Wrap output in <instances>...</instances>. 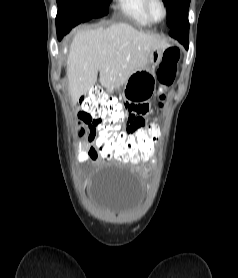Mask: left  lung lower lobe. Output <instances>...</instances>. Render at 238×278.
Instances as JSON below:
<instances>
[{"label": "left lung lower lobe", "mask_w": 238, "mask_h": 278, "mask_svg": "<svg viewBox=\"0 0 238 278\" xmlns=\"http://www.w3.org/2000/svg\"><path fill=\"white\" fill-rule=\"evenodd\" d=\"M170 36L177 39L186 48L188 47V36H189V22H188V11L181 15L177 23L170 28Z\"/></svg>", "instance_id": "1"}]
</instances>
